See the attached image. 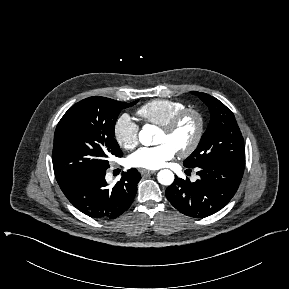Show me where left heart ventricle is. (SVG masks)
I'll return each mask as SVG.
<instances>
[{
    "instance_id": "obj_1",
    "label": "left heart ventricle",
    "mask_w": 289,
    "mask_h": 289,
    "mask_svg": "<svg viewBox=\"0 0 289 289\" xmlns=\"http://www.w3.org/2000/svg\"><path fill=\"white\" fill-rule=\"evenodd\" d=\"M197 129V121L193 116H188L183 120L179 127L172 133L166 134L162 130L159 132L156 143H168L176 151L189 145Z\"/></svg>"
}]
</instances>
